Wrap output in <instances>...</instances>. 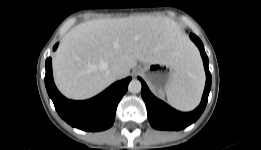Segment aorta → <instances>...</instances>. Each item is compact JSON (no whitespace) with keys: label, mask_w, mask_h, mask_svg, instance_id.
<instances>
[{"label":"aorta","mask_w":261,"mask_h":150,"mask_svg":"<svg viewBox=\"0 0 261 150\" xmlns=\"http://www.w3.org/2000/svg\"><path fill=\"white\" fill-rule=\"evenodd\" d=\"M142 85L141 82L137 79H133L130 81L128 90L131 93H139L141 91Z\"/></svg>","instance_id":"obj_1"}]
</instances>
